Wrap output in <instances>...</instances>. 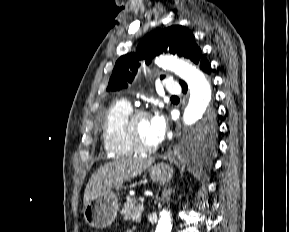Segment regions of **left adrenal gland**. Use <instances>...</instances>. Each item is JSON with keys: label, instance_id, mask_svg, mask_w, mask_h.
I'll return each mask as SVG.
<instances>
[{"label": "left adrenal gland", "instance_id": "left-adrenal-gland-1", "mask_svg": "<svg viewBox=\"0 0 289 232\" xmlns=\"http://www.w3.org/2000/svg\"><path fill=\"white\" fill-rule=\"evenodd\" d=\"M171 192H172V189L169 188L168 190L164 188V191L162 193V197L165 198V197H168L171 195Z\"/></svg>", "mask_w": 289, "mask_h": 232}]
</instances>
